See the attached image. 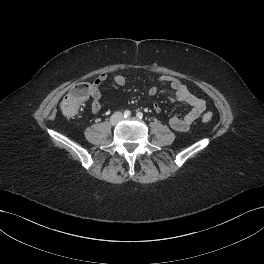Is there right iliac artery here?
<instances>
[{"instance_id": "82829eb1", "label": "right iliac artery", "mask_w": 264, "mask_h": 264, "mask_svg": "<svg viewBox=\"0 0 264 264\" xmlns=\"http://www.w3.org/2000/svg\"><path fill=\"white\" fill-rule=\"evenodd\" d=\"M130 115H131V112H130L129 110H126V111L124 112V117H125V118L130 117Z\"/></svg>"}]
</instances>
